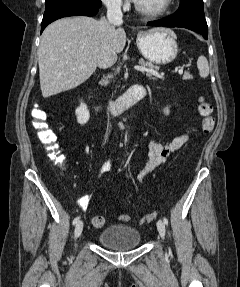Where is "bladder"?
Returning <instances> with one entry per match:
<instances>
[{"instance_id": "bladder-1", "label": "bladder", "mask_w": 240, "mask_h": 287, "mask_svg": "<svg viewBox=\"0 0 240 287\" xmlns=\"http://www.w3.org/2000/svg\"><path fill=\"white\" fill-rule=\"evenodd\" d=\"M98 242L112 250L124 251L136 248L141 242L138 229L127 225H111L98 236Z\"/></svg>"}]
</instances>
